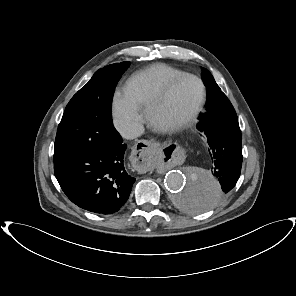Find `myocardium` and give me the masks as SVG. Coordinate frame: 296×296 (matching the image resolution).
Listing matches in <instances>:
<instances>
[{"label": "myocardium", "instance_id": "f54148a6", "mask_svg": "<svg viewBox=\"0 0 296 296\" xmlns=\"http://www.w3.org/2000/svg\"><path fill=\"white\" fill-rule=\"evenodd\" d=\"M184 79H193L195 80L200 88V94L198 100L191 111L186 114L184 117L174 120V121H163L159 118V111L162 106L165 104L168 99L170 93L174 89V87ZM206 99V87L201 78L194 74L184 73L167 83V85L162 89V91L158 94V96L151 102V104L147 108V114L151 125L162 132H175L181 129H184L191 125L195 119L198 117L204 102Z\"/></svg>", "mask_w": 296, "mask_h": 296}]
</instances>
